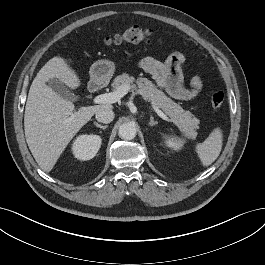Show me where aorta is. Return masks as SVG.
<instances>
[{
  "label": "aorta",
  "mask_w": 265,
  "mask_h": 265,
  "mask_svg": "<svg viewBox=\"0 0 265 265\" xmlns=\"http://www.w3.org/2000/svg\"><path fill=\"white\" fill-rule=\"evenodd\" d=\"M118 134L124 140H132L136 136V127L132 123H123Z\"/></svg>",
  "instance_id": "762f6f07"
}]
</instances>
